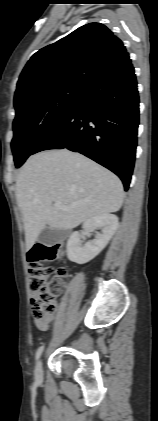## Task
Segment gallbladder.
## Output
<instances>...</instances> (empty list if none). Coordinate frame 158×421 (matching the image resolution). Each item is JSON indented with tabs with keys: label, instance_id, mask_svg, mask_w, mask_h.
Returning a JSON list of instances; mask_svg holds the SVG:
<instances>
[{
	"label": "gallbladder",
	"instance_id": "obj_1",
	"mask_svg": "<svg viewBox=\"0 0 158 421\" xmlns=\"http://www.w3.org/2000/svg\"><path fill=\"white\" fill-rule=\"evenodd\" d=\"M67 232L65 230L52 229L46 226L38 236V242L45 246H52L56 243H61L66 238Z\"/></svg>",
	"mask_w": 158,
	"mask_h": 421
}]
</instances>
